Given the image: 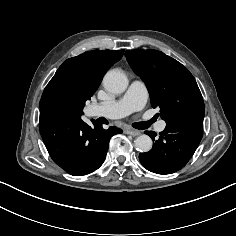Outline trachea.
I'll use <instances>...</instances> for the list:
<instances>
[{"label":"trachea","mask_w":236,"mask_h":236,"mask_svg":"<svg viewBox=\"0 0 236 236\" xmlns=\"http://www.w3.org/2000/svg\"><path fill=\"white\" fill-rule=\"evenodd\" d=\"M151 124H152L151 121H144V122L134 123L133 127L136 129H147L150 127Z\"/></svg>","instance_id":"1"}]
</instances>
